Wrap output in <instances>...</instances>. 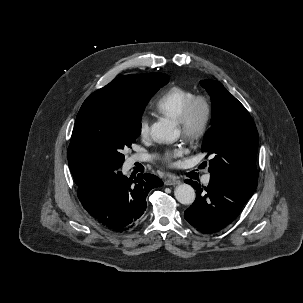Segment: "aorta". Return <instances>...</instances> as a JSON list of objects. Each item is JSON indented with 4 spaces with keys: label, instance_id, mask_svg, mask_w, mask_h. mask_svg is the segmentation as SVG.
<instances>
[{
    "label": "aorta",
    "instance_id": "762f6f07",
    "mask_svg": "<svg viewBox=\"0 0 303 303\" xmlns=\"http://www.w3.org/2000/svg\"><path fill=\"white\" fill-rule=\"evenodd\" d=\"M151 135L158 142H173L179 136L175 124L169 120H160L151 126ZM175 198L184 205H191L196 198L193 187L189 184H180L175 188Z\"/></svg>",
    "mask_w": 303,
    "mask_h": 303
}]
</instances>
